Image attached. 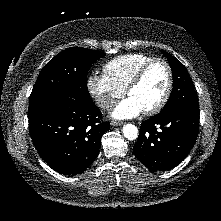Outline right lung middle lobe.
I'll list each match as a JSON object with an SVG mask.
<instances>
[{"mask_svg": "<svg viewBox=\"0 0 221 221\" xmlns=\"http://www.w3.org/2000/svg\"><path fill=\"white\" fill-rule=\"evenodd\" d=\"M103 52L70 47L52 58L41 70L29 98L28 117L59 97L89 99L87 73Z\"/></svg>", "mask_w": 221, "mask_h": 221, "instance_id": "obj_1", "label": "right lung middle lobe"}]
</instances>
